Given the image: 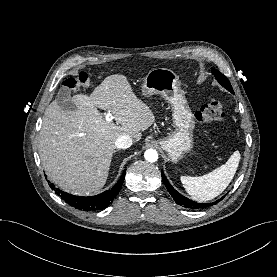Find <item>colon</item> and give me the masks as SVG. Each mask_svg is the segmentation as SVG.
<instances>
[{"label":"colon","mask_w":277,"mask_h":277,"mask_svg":"<svg viewBox=\"0 0 277 277\" xmlns=\"http://www.w3.org/2000/svg\"><path fill=\"white\" fill-rule=\"evenodd\" d=\"M89 84L90 79L85 73H80L76 77L67 78L63 82V85L69 90H77ZM194 116L196 121L203 125L221 122L226 116L225 104L219 99L210 97Z\"/></svg>","instance_id":"obj_1"}]
</instances>
